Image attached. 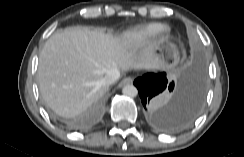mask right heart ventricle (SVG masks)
I'll list each match as a JSON object with an SVG mask.
<instances>
[{
  "mask_svg": "<svg viewBox=\"0 0 244 157\" xmlns=\"http://www.w3.org/2000/svg\"><path fill=\"white\" fill-rule=\"evenodd\" d=\"M162 29V26L159 24H150L144 27L137 28L129 33V36L136 37L139 39L145 38L157 31Z\"/></svg>",
  "mask_w": 244,
  "mask_h": 157,
  "instance_id": "right-heart-ventricle-1",
  "label": "right heart ventricle"
}]
</instances>
